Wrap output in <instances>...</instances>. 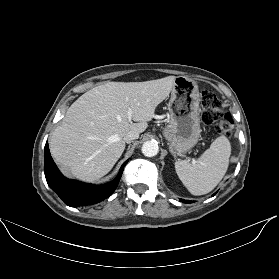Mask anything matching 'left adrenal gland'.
I'll return each mask as SVG.
<instances>
[{
  "mask_svg": "<svg viewBox=\"0 0 279 279\" xmlns=\"http://www.w3.org/2000/svg\"><path fill=\"white\" fill-rule=\"evenodd\" d=\"M172 153H173L174 157H176V154L174 152H172Z\"/></svg>",
  "mask_w": 279,
  "mask_h": 279,
  "instance_id": "obj_1",
  "label": "left adrenal gland"
}]
</instances>
